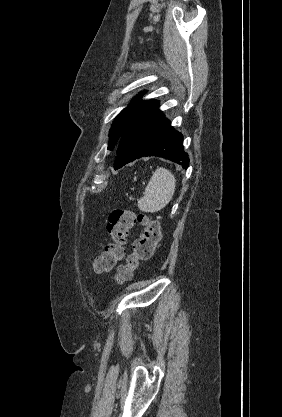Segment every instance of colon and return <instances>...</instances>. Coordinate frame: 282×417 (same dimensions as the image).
<instances>
[{"instance_id":"colon-1","label":"colon","mask_w":282,"mask_h":417,"mask_svg":"<svg viewBox=\"0 0 282 417\" xmlns=\"http://www.w3.org/2000/svg\"><path fill=\"white\" fill-rule=\"evenodd\" d=\"M138 225L143 235L134 241L133 252L115 275L117 283L131 279L133 272L150 261L161 241V225L158 220L135 210L114 209L108 219L107 230L110 240L106 249L93 259L92 264L99 273L108 272L124 255V245L131 229Z\"/></svg>"}]
</instances>
